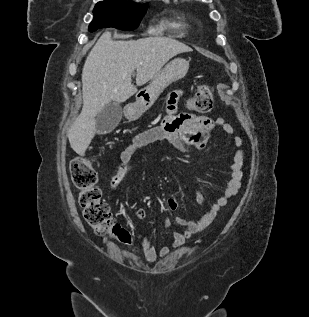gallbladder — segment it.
<instances>
[{
    "mask_svg": "<svg viewBox=\"0 0 309 317\" xmlns=\"http://www.w3.org/2000/svg\"><path fill=\"white\" fill-rule=\"evenodd\" d=\"M122 118V108L118 102H110L96 116V132L106 134L113 131Z\"/></svg>",
    "mask_w": 309,
    "mask_h": 317,
    "instance_id": "obj_1",
    "label": "gallbladder"
}]
</instances>
